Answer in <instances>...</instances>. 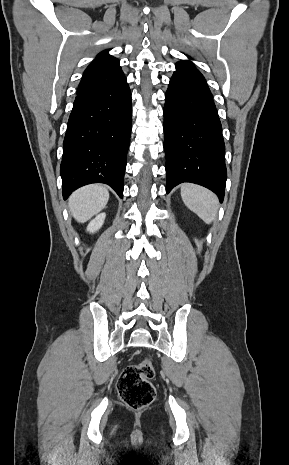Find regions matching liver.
<instances>
[{
  "mask_svg": "<svg viewBox=\"0 0 289 465\" xmlns=\"http://www.w3.org/2000/svg\"><path fill=\"white\" fill-rule=\"evenodd\" d=\"M109 200V192L104 185H88L75 191L69 198V210L73 217L84 223L100 212Z\"/></svg>",
  "mask_w": 289,
  "mask_h": 465,
  "instance_id": "1",
  "label": "liver"
}]
</instances>
